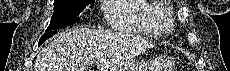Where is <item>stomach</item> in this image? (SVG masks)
Returning <instances> with one entry per match:
<instances>
[{
	"label": "stomach",
	"mask_w": 230,
	"mask_h": 71,
	"mask_svg": "<svg viewBox=\"0 0 230 71\" xmlns=\"http://www.w3.org/2000/svg\"><path fill=\"white\" fill-rule=\"evenodd\" d=\"M174 62L170 56H162L158 59V66L154 67V69H158V71H170ZM145 66L141 64L129 63L123 66L120 71H147Z\"/></svg>",
	"instance_id": "1"
}]
</instances>
